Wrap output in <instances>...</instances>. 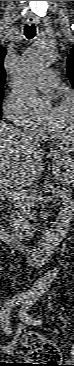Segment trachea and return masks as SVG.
<instances>
[{"label":"trachea","instance_id":"trachea-1","mask_svg":"<svg viewBox=\"0 0 74 366\" xmlns=\"http://www.w3.org/2000/svg\"><path fill=\"white\" fill-rule=\"evenodd\" d=\"M24 35L26 36V38L28 40L33 39L36 35L35 25L34 24H31V25L25 24V26H24Z\"/></svg>","mask_w":74,"mask_h":366}]
</instances>
